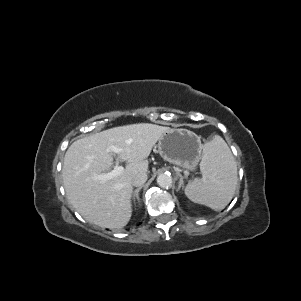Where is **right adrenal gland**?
Here are the masks:
<instances>
[{
    "label": "right adrenal gland",
    "mask_w": 301,
    "mask_h": 301,
    "mask_svg": "<svg viewBox=\"0 0 301 301\" xmlns=\"http://www.w3.org/2000/svg\"><path fill=\"white\" fill-rule=\"evenodd\" d=\"M141 189H142V186L138 187L137 189H135L133 191L132 199H133L134 202H135V199H137V201L140 202L139 192H140Z\"/></svg>",
    "instance_id": "2a0ac1e0"
}]
</instances>
